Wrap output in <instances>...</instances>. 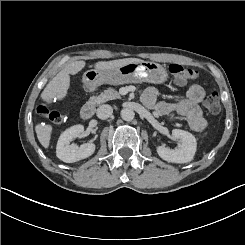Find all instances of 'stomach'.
Listing matches in <instances>:
<instances>
[{"label": "stomach", "mask_w": 245, "mask_h": 245, "mask_svg": "<svg viewBox=\"0 0 245 245\" xmlns=\"http://www.w3.org/2000/svg\"><path fill=\"white\" fill-rule=\"evenodd\" d=\"M166 68L155 62L141 61L128 63L115 69H91L83 74L84 86L93 91L102 84H128L149 82L161 84L167 81Z\"/></svg>", "instance_id": "1"}]
</instances>
